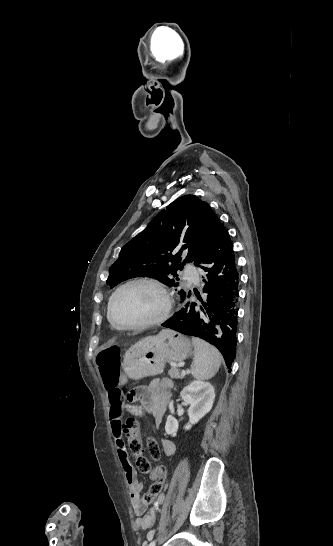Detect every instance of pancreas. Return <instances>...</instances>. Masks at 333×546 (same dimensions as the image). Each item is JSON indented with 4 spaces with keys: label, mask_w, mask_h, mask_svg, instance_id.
I'll return each mask as SVG.
<instances>
[{
    "label": "pancreas",
    "mask_w": 333,
    "mask_h": 546,
    "mask_svg": "<svg viewBox=\"0 0 333 546\" xmlns=\"http://www.w3.org/2000/svg\"><path fill=\"white\" fill-rule=\"evenodd\" d=\"M168 375L171 377V378H174V379H182L183 376L181 375L180 373V370L178 367H172L169 371H168Z\"/></svg>",
    "instance_id": "pancreas-1"
}]
</instances>
